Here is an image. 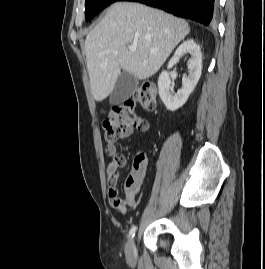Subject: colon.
I'll return each instance as SVG.
<instances>
[{
    "mask_svg": "<svg viewBox=\"0 0 265 269\" xmlns=\"http://www.w3.org/2000/svg\"><path fill=\"white\" fill-rule=\"evenodd\" d=\"M157 88L153 83H144L133 97L112 107L110 114L104 119V137L109 143L125 137L133 130L142 129L145 124L136 115V106L151 111L156 107Z\"/></svg>",
    "mask_w": 265,
    "mask_h": 269,
    "instance_id": "colon-1",
    "label": "colon"
}]
</instances>
